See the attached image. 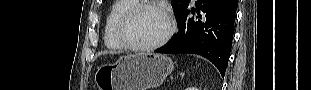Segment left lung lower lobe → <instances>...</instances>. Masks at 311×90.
<instances>
[{
	"label": "left lung lower lobe",
	"mask_w": 311,
	"mask_h": 90,
	"mask_svg": "<svg viewBox=\"0 0 311 90\" xmlns=\"http://www.w3.org/2000/svg\"><path fill=\"white\" fill-rule=\"evenodd\" d=\"M189 5V4H188ZM188 5L178 15L179 32L158 53H193L211 61L224 77L230 56L237 0H198L189 17Z\"/></svg>",
	"instance_id": "0a47b994"
}]
</instances>
